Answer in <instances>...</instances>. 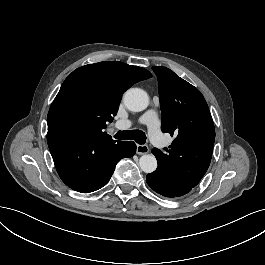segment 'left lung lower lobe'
<instances>
[{
	"label": "left lung lower lobe",
	"mask_w": 265,
	"mask_h": 265,
	"mask_svg": "<svg viewBox=\"0 0 265 265\" xmlns=\"http://www.w3.org/2000/svg\"><path fill=\"white\" fill-rule=\"evenodd\" d=\"M146 181L156 193L170 198L183 196L194 188L181 177L160 165L153 173L147 175Z\"/></svg>",
	"instance_id": "obj_1"
}]
</instances>
